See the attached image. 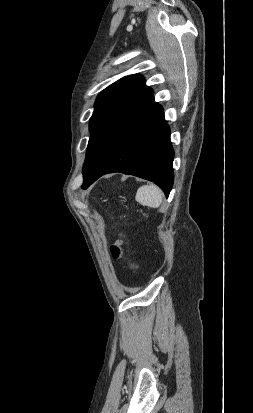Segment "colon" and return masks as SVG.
Masks as SVG:
<instances>
[{"label": "colon", "mask_w": 253, "mask_h": 413, "mask_svg": "<svg viewBox=\"0 0 253 413\" xmlns=\"http://www.w3.org/2000/svg\"><path fill=\"white\" fill-rule=\"evenodd\" d=\"M123 242H124V235L120 234L119 238L116 240V242L110 248L111 255L116 260H119V259L125 260L126 263L128 264V266L130 267V269L134 273H136L137 270H138V265L135 262H133L131 259L126 258L124 256L123 248H122Z\"/></svg>", "instance_id": "obj_1"}]
</instances>
